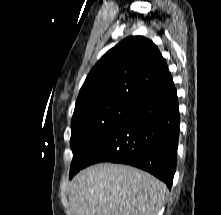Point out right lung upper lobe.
Returning a JSON list of instances; mask_svg holds the SVG:
<instances>
[{
	"label": "right lung upper lobe",
	"instance_id": "cb5924a9",
	"mask_svg": "<svg viewBox=\"0 0 221 215\" xmlns=\"http://www.w3.org/2000/svg\"><path fill=\"white\" fill-rule=\"evenodd\" d=\"M172 82L157 46L142 36H130L110 49L92 68L75 107L108 100L134 104Z\"/></svg>",
	"mask_w": 221,
	"mask_h": 215
}]
</instances>
